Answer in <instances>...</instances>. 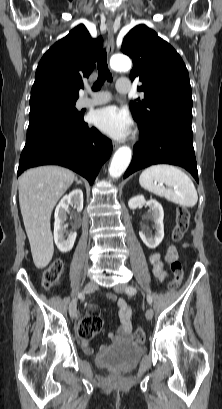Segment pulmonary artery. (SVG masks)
<instances>
[{
    "label": "pulmonary artery",
    "mask_w": 222,
    "mask_h": 409,
    "mask_svg": "<svg viewBox=\"0 0 222 409\" xmlns=\"http://www.w3.org/2000/svg\"><path fill=\"white\" fill-rule=\"evenodd\" d=\"M116 89L122 94L130 92V87L122 82H118L116 84ZM87 92L89 93V96H84L79 99V107H90L105 104L111 100V95L109 92H92L89 87H87Z\"/></svg>",
    "instance_id": "pulmonary-artery-1"
}]
</instances>
